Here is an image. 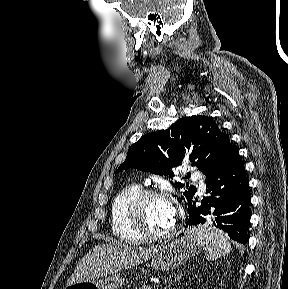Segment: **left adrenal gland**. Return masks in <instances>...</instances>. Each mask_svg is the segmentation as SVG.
Instances as JSON below:
<instances>
[{
	"label": "left adrenal gland",
	"mask_w": 288,
	"mask_h": 289,
	"mask_svg": "<svg viewBox=\"0 0 288 289\" xmlns=\"http://www.w3.org/2000/svg\"><path fill=\"white\" fill-rule=\"evenodd\" d=\"M181 276H182V274L178 275V276L174 279V281L176 282L177 280H179V279L181 278ZM168 286H170V284H169Z\"/></svg>",
	"instance_id": "a2214340"
}]
</instances>
